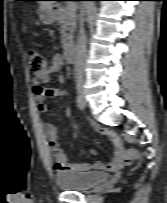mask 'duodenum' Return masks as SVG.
<instances>
[{
  "label": "duodenum",
  "mask_w": 167,
  "mask_h": 203,
  "mask_svg": "<svg viewBox=\"0 0 167 203\" xmlns=\"http://www.w3.org/2000/svg\"><path fill=\"white\" fill-rule=\"evenodd\" d=\"M77 49L75 45H69L65 49L64 58L68 63H74L76 60Z\"/></svg>",
  "instance_id": "410a0bca"
}]
</instances>
